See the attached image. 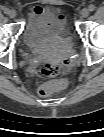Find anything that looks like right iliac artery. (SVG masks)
Instances as JSON below:
<instances>
[{"instance_id": "82829eb1", "label": "right iliac artery", "mask_w": 104, "mask_h": 137, "mask_svg": "<svg viewBox=\"0 0 104 137\" xmlns=\"http://www.w3.org/2000/svg\"><path fill=\"white\" fill-rule=\"evenodd\" d=\"M3 11H4V13H6V14H7V13H8V11H9V9H8L7 7H4V8H3Z\"/></svg>"}]
</instances>
